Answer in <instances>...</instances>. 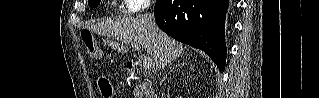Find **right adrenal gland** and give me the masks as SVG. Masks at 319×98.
I'll use <instances>...</instances> for the list:
<instances>
[{
    "instance_id": "obj_1",
    "label": "right adrenal gland",
    "mask_w": 319,
    "mask_h": 98,
    "mask_svg": "<svg viewBox=\"0 0 319 98\" xmlns=\"http://www.w3.org/2000/svg\"><path fill=\"white\" fill-rule=\"evenodd\" d=\"M186 65H188V63L187 62H183V63H178V64H176L173 68H170V71L166 74V76L163 78V81L167 78V75L168 74H170V72H172V71H174L176 68H178V67H183V66H186Z\"/></svg>"
}]
</instances>
